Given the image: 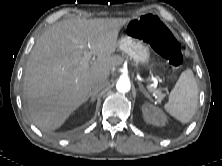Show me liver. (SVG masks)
<instances>
[{
    "instance_id": "1",
    "label": "liver",
    "mask_w": 222,
    "mask_h": 166,
    "mask_svg": "<svg viewBox=\"0 0 222 166\" xmlns=\"http://www.w3.org/2000/svg\"><path fill=\"white\" fill-rule=\"evenodd\" d=\"M129 21L72 18L52 25L37 39L27 61L23 96L30 119L41 131L61 127L92 93L93 81L108 78L123 62L114 52L119 31ZM86 49L97 58L82 69Z\"/></svg>"
}]
</instances>
